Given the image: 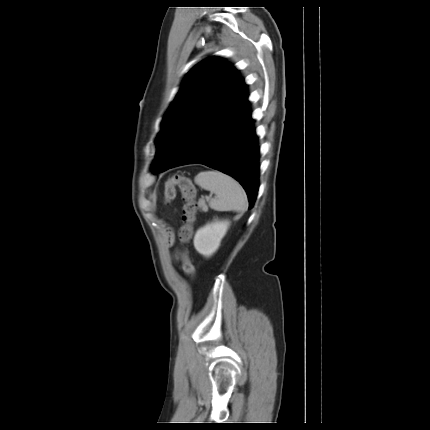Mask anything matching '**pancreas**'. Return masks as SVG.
Returning a JSON list of instances; mask_svg holds the SVG:
<instances>
[{
	"label": "pancreas",
	"mask_w": 430,
	"mask_h": 430,
	"mask_svg": "<svg viewBox=\"0 0 430 430\" xmlns=\"http://www.w3.org/2000/svg\"><path fill=\"white\" fill-rule=\"evenodd\" d=\"M198 207L203 211V212H207L208 211V206L205 204V201L203 199L199 200L198 202Z\"/></svg>",
	"instance_id": "cf45deb5"
}]
</instances>
